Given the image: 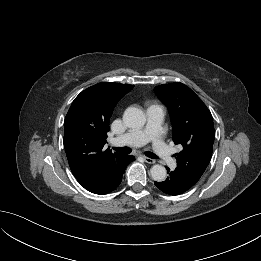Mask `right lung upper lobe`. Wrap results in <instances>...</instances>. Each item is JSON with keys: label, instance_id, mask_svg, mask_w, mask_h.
<instances>
[{"label": "right lung upper lobe", "instance_id": "right-lung-upper-lobe-1", "mask_svg": "<svg viewBox=\"0 0 261 261\" xmlns=\"http://www.w3.org/2000/svg\"><path fill=\"white\" fill-rule=\"evenodd\" d=\"M133 87L102 82L82 91L72 102L63 143L71 171L83 187L96 182L123 158L104 145L114 107Z\"/></svg>", "mask_w": 261, "mask_h": 261}]
</instances>
